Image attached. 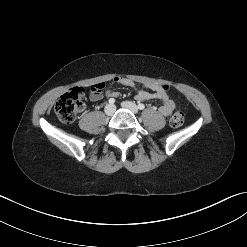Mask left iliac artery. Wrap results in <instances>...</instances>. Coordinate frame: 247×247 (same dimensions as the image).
Returning <instances> with one entry per match:
<instances>
[{
	"instance_id": "44dca946",
	"label": "left iliac artery",
	"mask_w": 247,
	"mask_h": 247,
	"mask_svg": "<svg viewBox=\"0 0 247 247\" xmlns=\"http://www.w3.org/2000/svg\"><path fill=\"white\" fill-rule=\"evenodd\" d=\"M138 108H139L140 110H143V109L145 108V105L142 104V103H139V104H138Z\"/></svg>"
}]
</instances>
